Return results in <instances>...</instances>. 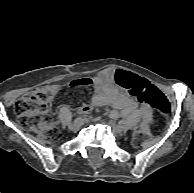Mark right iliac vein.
I'll use <instances>...</instances> for the list:
<instances>
[{
	"label": "right iliac vein",
	"mask_w": 194,
	"mask_h": 193,
	"mask_svg": "<svg viewBox=\"0 0 194 193\" xmlns=\"http://www.w3.org/2000/svg\"><path fill=\"white\" fill-rule=\"evenodd\" d=\"M83 125V120L79 121V122H73L71 125H70V129L74 132L78 131L80 129V127Z\"/></svg>",
	"instance_id": "63e3f726"
}]
</instances>
